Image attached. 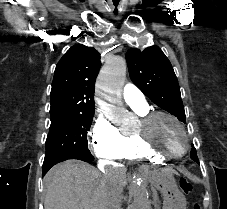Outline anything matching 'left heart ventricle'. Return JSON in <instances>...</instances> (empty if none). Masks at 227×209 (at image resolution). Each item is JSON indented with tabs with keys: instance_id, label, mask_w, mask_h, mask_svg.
I'll list each match as a JSON object with an SVG mask.
<instances>
[{
	"instance_id": "obj_1",
	"label": "left heart ventricle",
	"mask_w": 227,
	"mask_h": 209,
	"mask_svg": "<svg viewBox=\"0 0 227 209\" xmlns=\"http://www.w3.org/2000/svg\"><path fill=\"white\" fill-rule=\"evenodd\" d=\"M137 131H141L151 145L164 154L180 153L186 144L179 127L164 116L155 118L143 127L139 123Z\"/></svg>"
}]
</instances>
